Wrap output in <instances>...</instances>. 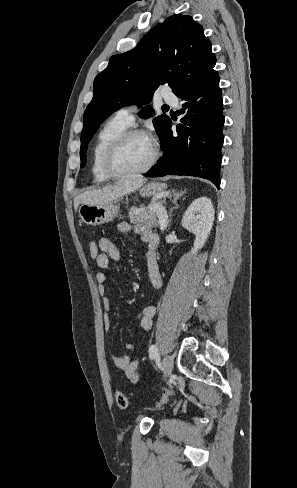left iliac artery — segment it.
<instances>
[{"label": "left iliac artery", "mask_w": 297, "mask_h": 488, "mask_svg": "<svg viewBox=\"0 0 297 488\" xmlns=\"http://www.w3.org/2000/svg\"><path fill=\"white\" fill-rule=\"evenodd\" d=\"M149 357H150V359H156L159 357L158 348L155 344H152L149 347Z\"/></svg>", "instance_id": "1"}]
</instances>
